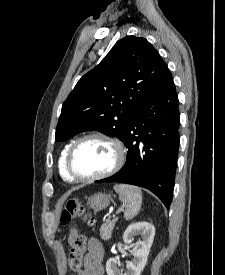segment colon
<instances>
[{
  "mask_svg": "<svg viewBox=\"0 0 225 275\" xmlns=\"http://www.w3.org/2000/svg\"><path fill=\"white\" fill-rule=\"evenodd\" d=\"M76 218H82L88 225H93V218L88 214L84 206L77 200L67 201L60 215V222L67 225ZM70 255L68 265L72 271H80L83 265L84 238L77 230L72 229L68 235Z\"/></svg>",
  "mask_w": 225,
  "mask_h": 275,
  "instance_id": "5ec220e1",
  "label": "colon"
}]
</instances>
